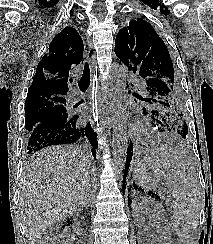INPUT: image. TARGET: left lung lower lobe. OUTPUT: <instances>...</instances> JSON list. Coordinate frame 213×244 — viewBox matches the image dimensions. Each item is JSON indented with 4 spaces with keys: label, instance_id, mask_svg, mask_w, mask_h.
<instances>
[{
    "label": "left lung lower lobe",
    "instance_id": "0a47b994",
    "mask_svg": "<svg viewBox=\"0 0 213 244\" xmlns=\"http://www.w3.org/2000/svg\"><path fill=\"white\" fill-rule=\"evenodd\" d=\"M156 121V120H155ZM157 122V121H156ZM157 125H159L158 127V131L160 132H164L165 131V126H164V123L162 124H159L157 122ZM129 142V141H128ZM132 155H133V144L131 143L130 141V144L128 146V149H127V158H126V164H125V172H124V181L126 179V176H127V172H128V169H129V165H130V161L132 159Z\"/></svg>",
    "mask_w": 213,
    "mask_h": 244
}]
</instances>
